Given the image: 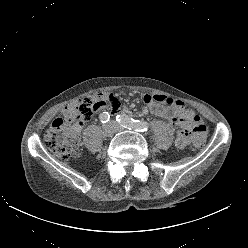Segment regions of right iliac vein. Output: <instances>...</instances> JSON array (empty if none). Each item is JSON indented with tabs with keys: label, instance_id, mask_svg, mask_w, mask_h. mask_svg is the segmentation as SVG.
<instances>
[{
	"label": "right iliac vein",
	"instance_id": "obj_1",
	"mask_svg": "<svg viewBox=\"0 0 248 248\" xmlns=\"http://www.w3.org/2000/svg\"><path fill=\"white\" fill-rule=\"evenodd\" d=\"M116 132L115 126L112 124H107L103 126V134L107 137H112Z\"/></svg>",
	"mask_w": 248,
	"mask_h": 248
}]
</instances>
